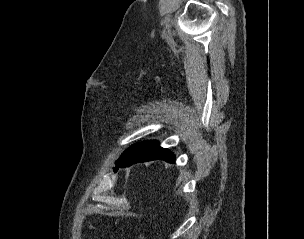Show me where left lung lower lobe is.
I'll return each mask as SVG.
<instances>
[{
    "label": "left lung lower lobe",
    "mask_w": 304,
    "mask_h": 239,
    "mask_svg": "<svg viewBox=\"0 0 304 239\" xmlns=\"http://www.w3.org/2000/svg\"><path fill=\"white\" fill-rule=\"evenodd\" d=\"M164 160L175 161V156L167 149L161 148L157 141H144L135 145L119 162L117 167L131 166L138 162ZM117 170V168L115 169Z\"/></svg>",
    "instance_id": "left-lung-lower-lobe-1"
}]
</instances>
